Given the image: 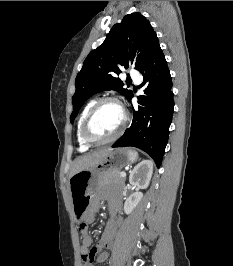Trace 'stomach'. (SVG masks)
Segmentation results:
<instances>
[{
    "label": "stomach",
    "mask_w": 233,
    "mask_h": 266,
    "mask_svg": "<svg viewBox=\"0 0 233 266\" xmlns=\"http://www.w3.org/2000/svg\"><path fill=\"white\" fill-rule=\"evenodd\" d=\"M133 162L127 149H112L100 163L76 173L69 179L73 213L77 222L83 220L91 197L99 187L100 177L106 172L120 171Z\"/></svg>",
    "instance_id": "1"
}]
</instances>
